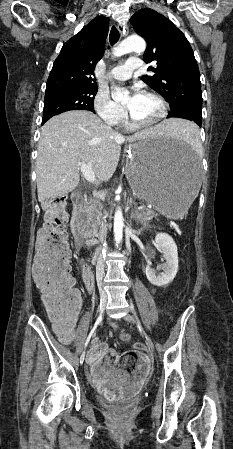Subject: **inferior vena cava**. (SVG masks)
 <instances>
[{
    "label": "inferior vena cava",
    "instance_id": "602c4592",
    "mask_svg": "<svg viewBox=\"0 0 233 449\" xmlns=\"http://www.w3.org/2000/svg\"><path fill=\"white\" fill-rule=\"evenodd\" d=\"M104 274V266L103 263H98L96 267V277L97 279H102Z\"/></svg>",
    "mask_w": 233,
    "mask_h": 449
}]
</instances>
